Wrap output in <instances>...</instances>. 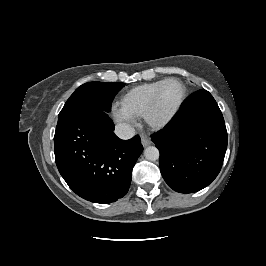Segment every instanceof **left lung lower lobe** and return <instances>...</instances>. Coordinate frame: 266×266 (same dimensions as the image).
<instances>
[{"label":"left lung lower lobe","instance_id":"0a47b994","mask_svg":"<svg viewBox=\"0 0 266 266\" xmlns=\"http://www.w3.org/2000/svg\"><path fill=\"white\" fill-rule=\"evenodd\" d=\"M152 141L160 152L161 174L173 190L205 188L219 174L227 149L226 126L215 99L206 90L192 94Z\"/></svg>","mask_w":266,"mask_h":266}]
</instances>
